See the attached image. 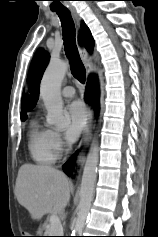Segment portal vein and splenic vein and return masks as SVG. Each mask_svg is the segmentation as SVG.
Listing matches in <instances>:
<instances>
[{"label": "portal vein and splenic vein", "instance_id": "portal-vein-and-splenic-vein-1", "mask_svg": "<svg viewBox=\"0 0 158 237\" xmlns=\"http://www.w3.org/2000/svg\"><path fill=\"white\" fill-rule=\"evenodd\" d=\"M50 224L53 228H61L62 227L60 219L56 214H53L50 217Z\"/></svg>", "mask_w": 158, "mask_h": 237}]
</instances>
